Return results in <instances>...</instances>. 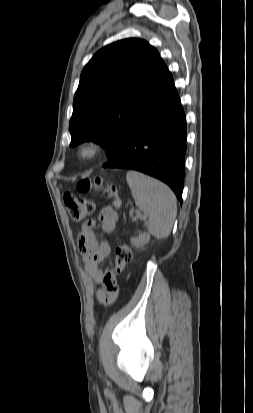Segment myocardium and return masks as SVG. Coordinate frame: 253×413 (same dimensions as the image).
Returning <instances> with one entry per match:
<instances>
[{
  "instance_id": "obj_1",
  "label": "myocardium",
  "mask_w": 253,
  "mask_h": 413,
  "mask_svg": "<svg viewBox=\"0 0 253 413\" xmlns=\"http://www.w3.org/2000/svg\"><path fill=\"white\" fill-rule=\"evenodd\" d=\"M101 145L96 140H85L78 147V156L84 161L93 160L100 152Z\"/></svg>"
}]
</instances>
